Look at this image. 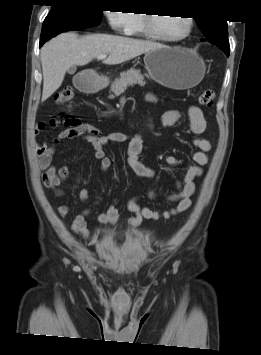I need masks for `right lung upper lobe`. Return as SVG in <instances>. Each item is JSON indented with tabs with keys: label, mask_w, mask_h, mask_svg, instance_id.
I'll use <instances>...</instances> for the list:
<instances>
[{
	"label": "right lung upper lobe",
	"mask_w": 261,
	"mask_h": 355,
	"mask_svg": "<svg viewBox=\"0 0 261 355\" xmlns=\"http://www.w3.org/2000/svg\"><path fill=\"white\" fill-rule=\"evenodd\" d=\"M51 3H56V2H60V1H63V0H50Z\"/></svg>",
	"instance_id": "1"
}]
</instances>
